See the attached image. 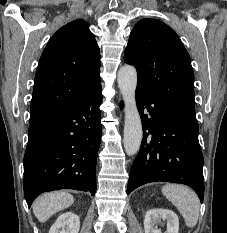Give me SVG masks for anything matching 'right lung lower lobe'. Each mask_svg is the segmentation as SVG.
I'll list each match as a JSON object with an SVG mask.
<instances>
[{"instance_id":"right-lung-lower-lobe-1","label":"right lung lower lobe","mask_w":227,"mask_h":233,"mask_svg":"<svg viewBox=\"0 0 227 233\" xmlns=\"http://www.w3.org/2000/svg\"><path fill=\"white\" fill-rule=\"evenodd\" d=\"M101 86L86 97L30 123L24 155V196L30 207L43 192H96L101 143Z\"/></svg>"}]
</instances>
